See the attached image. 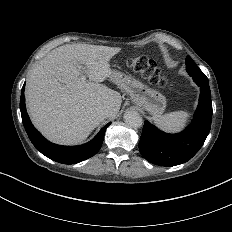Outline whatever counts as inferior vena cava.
Segmentation results:
<instances>
[{"label":"inferior vena cava","instance_id":"1","mask_svg":"<svg viewBox=\"0 0 232 232\" xmlns=\"http://www.w3.org/2000/svg\"><path fill=\"white\" fill-rule=\"evenodd\" d=\"M98 113L103 117V118H107V117H110L113 112L112 110L110 109L109 106H103L101 107L100 109H98Z\"/></svg>","mask_w":232,"mask_h":232}]
</instances>
